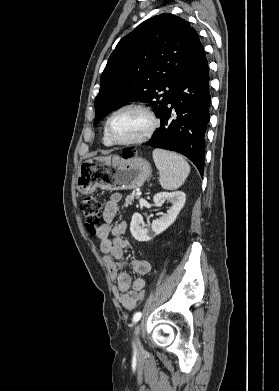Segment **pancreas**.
<instances>
[{
    "mask_svg": "<svg viewBox=\"0 0 279 391\" xmlns=\"http://www.w3.org/2000/svg\"><path fill=\"white\" fill-rule=\"evenodd\" d=\"M138 198H139V196L136 193H132L130 195H127V197L125 199V206L132 205V202L134 201V199H138Z\"/></svg>",
    "mask_w": 279,
    "mask_h": 391,
    "instance_id": "pancreas-1",
    "label": "pancreas"
}]
</instances>
